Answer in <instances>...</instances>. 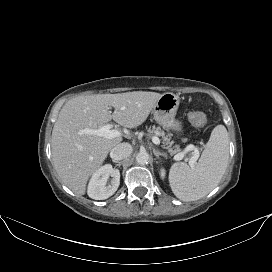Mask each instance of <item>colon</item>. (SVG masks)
Listing matches in <instances>:
<instances>
[{
    "instance_id": "1",
    "label": "colon",
    "mask_w": 272,
    "mask_h": 272,
    "mask_svg": "<svg viewBox=\"0 0 272 272\" xmlns=\"http://www.w3.org/2000/svg\"><path fill=\"white\" fill-rule=\"evenodd\" d=\"M188 119L196 127H204L207 123L206 115L201 111H190Z\"/></svg>"
}]
</instances>
